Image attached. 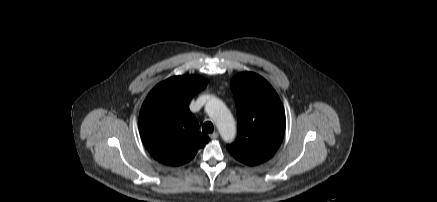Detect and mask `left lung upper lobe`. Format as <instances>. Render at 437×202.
I'll return each instance as SVG.
<instances>
[{"mask_svg": "<svg viewBox=\"0 0 437 202\" xmlns=\"http://www.w3.org/2000/svg\"><path fill=\"white\" fill-rule=\"evenodd\" d=\"M238 118V136L227 145L238 161L254 166L269 160L285 133L283 105L273 87L253 72H242L231 81Z\"/></svg>", "mask_w": 437, "mask_h": 202, "instance_id": "1", "label": "left lung upper lobe"}]
</instances>
